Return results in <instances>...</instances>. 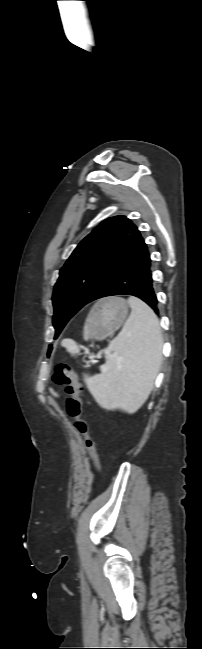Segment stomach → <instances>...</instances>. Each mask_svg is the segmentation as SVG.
Instances as JSON below:
<instances>
[{
    "label": "stomach",
    "instance_id": "0dacf381",
    "mask_svg": "<svg viewBox=\"0 0 202 649\" xmlns=\"http://www.w3.org/2000/svg\"><path fill=\"white\" fill-rule=\"evenodd\" d=\"M128 301L111 297L97 302L85 323V338L104 339L117 330L126 320L129 312Z\"/></svg>",
    "mask_w": 202,
    "mask_h": 649
}]
</instances>
